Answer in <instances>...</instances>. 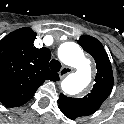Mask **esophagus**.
<instances>
[{
    "instance_id": "obj_1",
    "label": "esophagus",
    "mask_w": 124,
    "mask_h": 124,
    "mask_svg": "<svg viewBox=\"0 0 124 124\" xmlns=\"http://www.w3.org/2000/svg\"><path fill=\"white\" fill-rule=\"evenodd\" d=\"M72 71H73V69L70 67H63L59 72V76H60V78H64L65 76L70 74Z\"/></svg>"
}]
</instances>
